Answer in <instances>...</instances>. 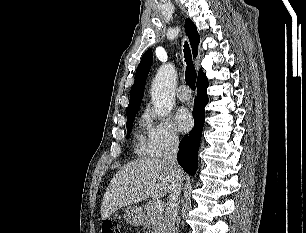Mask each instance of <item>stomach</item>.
I'll return each mask as SVG.
<instances>
[{"label": "stomach", "instance_id": "0dacf381", "mask_svg": "<svg viewBox=\"0 0 306 233\" xmlns=\"http://www.w3.org/2000/svg\"><path fill=\"white\" fill-rule=\"evenodd\" d=\"M144 212L138 206H129L124 211V218L133 226H140L144 222Z\"/></svg>", "mask_w": 306, "mask_h": 233}]
</instances>
